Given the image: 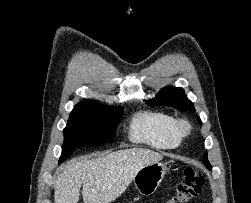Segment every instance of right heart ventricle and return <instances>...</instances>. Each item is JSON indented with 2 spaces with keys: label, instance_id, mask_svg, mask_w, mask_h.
I'll return each mask as SVG.
<instances>
[{
  "label": "right heart ventricle",
  "instance_id": "right-heart-ventricle-1",
  "mask_svg": "<svg viewBox=\"0 0 251 203\" xmlns=\"http://www.w3.org/2000/svg\"><path fill=\"white\" fill-rule=\"evenodd\" d=\"M130 139L157 149H173L180 145L183 135L177 119L166 112L145 110L137 113L129 127Z\"/></svg>",
  "mask_w": 251,
  "mask_h": 203
}]
</instances>
